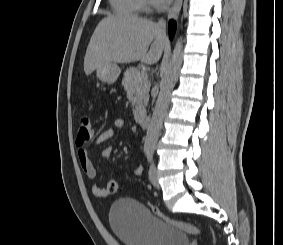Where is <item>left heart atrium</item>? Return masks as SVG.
Segmentation results:
<instances>
[{
  "mask_svg": "<svg viewBox=\"0 0 283 245\" xmlns=\"http://www.w3.org/2000/svg\"><path fill=\"white\" fill-rule=\"evenodd\" d=\"M155 4L158 5H165L167 4L170 0H152Z\"/></svg>",
  "mask_w": 283,
  "mask_h": 245,
  "instance_id": "39dd6f15",
  "label": "left heart atrium"
}]
</instances>
